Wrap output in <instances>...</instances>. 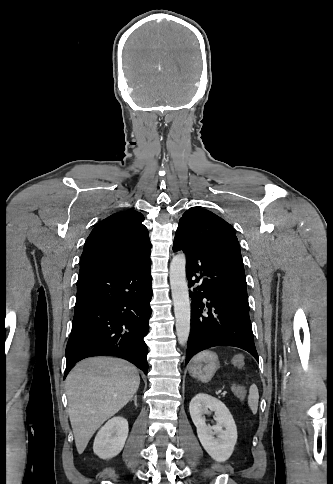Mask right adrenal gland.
I'll list each match as a JSON object with an SVG mask.
<instances>
[{
	"instance_id": "right-adrenal-gland-1",
	"label": "right adrenal gland",
	"mask_w": 333,
	"mask_h": 484,
	"mask_svg": "<svg viewBox=\"0 0 333 484\" xmlns=\"http://www.w3.org/2000/svg\"><path fill=\"white\" fill-rule=\"evenodd\" d=\"M133 400H134L135 406H137V395H134Z\"/></svg>"
}]
</instances>
